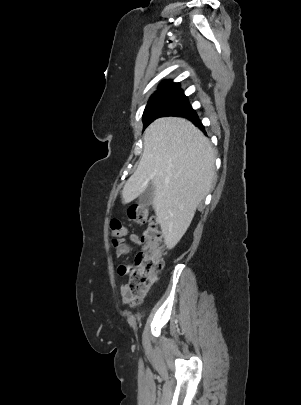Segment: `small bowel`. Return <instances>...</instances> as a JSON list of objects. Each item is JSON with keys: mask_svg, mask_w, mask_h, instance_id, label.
<instances>
[{"mask_svg": "<svg viewBox=\"0 0 301 405\" xmlns=\"http://www.w3.org/2000/svg\"><path fill=\"white\" fill-rule=\"evenodd\" d=\"M128 241H130L132 243H135V244H140L141 243V240H140L139 236L137 234H134V233L129 234L127 239H124V238L116 239L113 242V245H114L115 250H116L115 253H116L117 258H121V257L126 256V255L129 254L130 246L128 244ZM131 267H132L131 265L120 264L118 266L119 275H122V276L127 275L129 273ZM120 293H121V296H122V298L124 300L128 299V290H127L126 285H123L120 288Z\"/></svg>", "mask_w": 301, "mask_h": 405, "instance_id": "small-bowel-1", "label": "small bowel"}]
</instances>
